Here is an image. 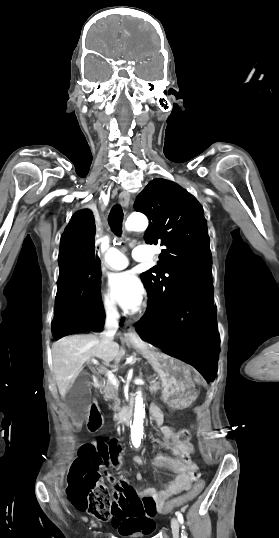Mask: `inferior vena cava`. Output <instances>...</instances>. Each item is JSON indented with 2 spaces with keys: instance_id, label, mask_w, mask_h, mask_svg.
Masks as SVG:
<instances>
[{
  "instance_id": "inferior-vena-cava-1",
  "label": "inferior vena cava",
  "mask_w": 279,
  "mask_h": 538,
  "mask_svg": "<svg viewBox=\"0 0 279 538\" xmlns=\"http://www.w3.org/2000/svg\"><path fill=\"white\" fill-rule=\"evenodd\" d=\"M117 318H119V314L116 310H107V320H106V325H105V327L107 328V331H104L103 333H101V334H104V335H101V337L104 338L102 340V343L110 344L111 339L115 338L114 334H116V331L118 328V323L116 320Z\"/></svg>"
}]
</instances>
